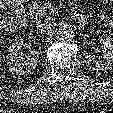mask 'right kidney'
Returning <instances> with one entry per match:
<instances>
[{"label":"right kidney","instance_id":"1","mask_svg":"<svg viewBox=\"0 0 113 113\" xmlns=\"http://www.w3.org/2000/svg\"><path fill=\"white\" fill-rule=\"evenodd\" d=\"M23 49L24 41L22 39L15 40L9 47L7 55L9 71L15 76L31 73L38 64L39 52L32 50L31 56L23 61Z\"/></svg>","mask_w":113,"mask_h":113}]
</instances>
